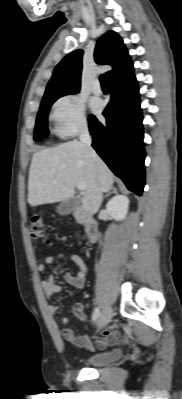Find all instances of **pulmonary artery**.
Segmentation results:
<instances>
[{
    "label": "pulmonary artery",
    "mask_w": 182,
    "mask_h": 399,
    "mask_svg": "<svg viewBox=\"0 0 182 399\" xmlns=\"http://www.w3.org/2000/svg\"><path fill=\"white\" fill-rule=\"evenodd\" d=\"M92 91H93V93H94L95 95H101V94H102V88H101L100 82H99L98 80H96V81L93 83Z\"/></svg>",
    "instance_id": "1"
}]
</instances>
